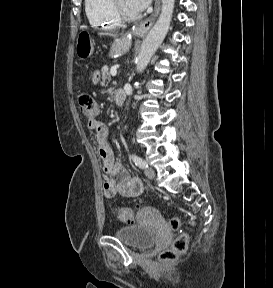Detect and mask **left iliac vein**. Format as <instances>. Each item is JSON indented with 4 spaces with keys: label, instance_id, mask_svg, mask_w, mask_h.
Listing matches in <instances>:
<instances>
[{
    "label": "left iliac vein",
    "instance_id": "4c4485c4",
    "mask_svg": "<svg viewBox=\"0 0 273 288\" xmlns=\"http://www.w3.org/2000/svg\"><path fill=\"white\" fill-rule=\"evenodd\" d=\"M145 175L148 179H154L155 178V170L151 167H148L145 169Z\"/></svg>",
    "mask_w": 273,
    "mask_h": 288
}]
</instances>
